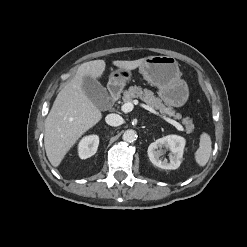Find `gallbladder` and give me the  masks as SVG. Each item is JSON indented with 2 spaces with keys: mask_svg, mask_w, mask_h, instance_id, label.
<instances>
[{
  "mask_svg": "<svg viewBox=\"0 0 247 247\" xmlns=\"http://www.w3.org/2000/svg\"><path fill=\"white\" fill-rule=\"evenodd\" d=\"M83 90L97 108L102 109L105 106L109 95L106 88L98 80L89 76L84 77Z\"/></svg>",
  "mask_w": 247,
  "mask_h": 247,
  "instance_id": "obj_1",
  "label": "gallbladder"
}]
</instances>
